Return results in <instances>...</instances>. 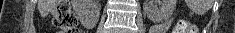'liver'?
Segmentation results:
<instances>
[{
	"label": "liver",
	"instance_id": "liver-1",
	"mask_svg": "<svg viewBox=\"0 0 235 33\" xmlns=\"http://www.w3.org/2000/svg\"><path fill=\"white\" fill-rule=\"evenodd\" d=\"M38 9L42 16H47L52 9V1L38 0Z\"/></svg>",
	"mask_w": 235,
	"mask_h": 33
}]
</instances>
